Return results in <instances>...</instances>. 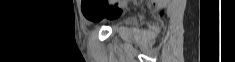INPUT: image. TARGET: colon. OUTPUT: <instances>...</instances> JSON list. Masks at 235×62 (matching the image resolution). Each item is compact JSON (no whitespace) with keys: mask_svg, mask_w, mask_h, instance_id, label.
<instances>
[{"mask_svg":"<svg viewBox=\"0 0 235 62\" xmlns=\"http://www.w3.org/2000/svg\"><path fill=\"white\" fill-rule=\"evenodd\" d=\"M83 13L88 20L95 21L103 12L96 0H83ZM123 11V6L120 2H116L106 10V16L109 18L120 15Z\"/></svg>","mask_w":235,"mask_h":62,"instance_id":"5ec220e1","label":"colon"}]
</instances>
